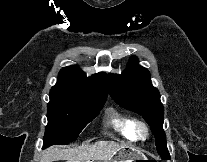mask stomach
<instances>
[{
	"instance_id": "stomach-1",
	"label": "stomach",
	"mask_w": 207,
	"mask_h": 162,
	"mask_svg": "<svg viewBox=\"0 0 207 162\" xmlns=\"http://www.w3.org/2000/svg\"><path fill=\"white\" fill-rule=\"evenodd\" d=\"M146 157L136 149L125 146L119 149L110 160L104 162H144Z\"/></svg>"
}]
</instances>
